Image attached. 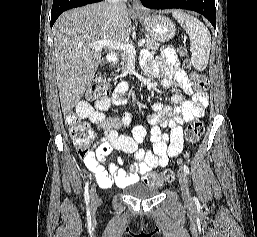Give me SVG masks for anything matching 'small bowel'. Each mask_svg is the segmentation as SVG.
Segmentation results:
<instances>
[{
    "label": "small bowel",
    "instance_id": "small-bowel-1",
    "mask_svg": "<svg viewBox=\"0 0 257 237\" xmlns=\"http://www.w3.org/2000/svg\"><path fill=\"white\" fill-rule=\"evenodd\" d=\"M144 68L151 75L160 76L164 87L175 84L191 95V99L185 100L182 94L175 93L171 97L172 105L159 102L153 104L155 113L147 117V122L151 125L152 150L141 148L147 134L144 126L134 127L131 135L119 133V130L125 129L130 123L129 112L123 111L116 117L105 115L111 107L125 103L128 90L126 82L120 83L111 97H106L95 105L86 101L77 104V114L104 132V136L97 139L90 147L88 144L81 145L75 140L79 155L103 188L113 185L124 187L136 182L140 175L156 168L166 167L170 159L182 152L184 125L202 117L204 107L209 102L208 95L202 91H195L186 73L178 67L174 50L165 49L160 59L145 62ZM90 134L94 138V134L92 132ZM114 150L132 154L136 162L129 168L117 166L107 160Z\"/></svg>",
    "mask_w": 257,
    "mask_h": 237
}]
</instances>
